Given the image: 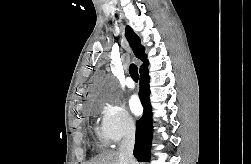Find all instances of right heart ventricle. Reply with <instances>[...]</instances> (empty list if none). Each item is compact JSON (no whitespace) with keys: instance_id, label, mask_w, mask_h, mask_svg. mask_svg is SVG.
Masks as SVG:
<instances>
[{"instance_id":"right-heart-ventricle-1","label":"right heart ventricle","mask_w":251,"mask_h":164,"mask_svg":"<svg viewBox=\"0 0 251 164\" xmlns=\"http://www.w3.org/2000/svg\"><path fill=\"white\" fill-rule=\"evenodd\" d=\"M98 135H99V138H100L101 142H102L103 144H105V143H106V138H105V136H104L102 133H100V132H98Z\"/></svg>"}]
</instances>
